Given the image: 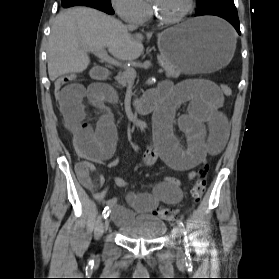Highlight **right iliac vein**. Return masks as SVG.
Wrapping results in <instances>:
<instances>
[{"label": "right iliac vein", "mask_w": 279, "mask_h": 279, "mask_svg": "<svg viewBox=\"0 0 279 279\" xmlns=\"http://www.w3.org/2000/svg\"><path fill=\"white\" fill-rule=\"evenodd\" d=\"M109 228V219L106 218L103 225H102V232L105 233Z\"/></svg>", "instance_id": "63e3f726"}]
</instances>
